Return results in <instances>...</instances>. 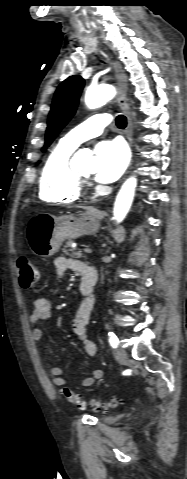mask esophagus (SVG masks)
Wrapping results in <instances>:
<instances>
[{
	"label": "esophagus",
	"instance_id": "1",
	"mask_svg": "<svg viewBox=\"0 0 187 479\" xmlns=\"http://www.w3.org/2000/svg\"><path fill=\"white\" fill-rule=\"evenodd\" d=\"M113 70L117 79L118 85V102L121 109L124 111L127 117V127L125 130L127 140L129 142L131 151H133V129H132V119H131V111L126 99V92H127V77L124 71L122 70V66L119 62H113Z\"/></svg>",
	"mask_w": 187,
	"mask_h": 479
}]
</instances>
